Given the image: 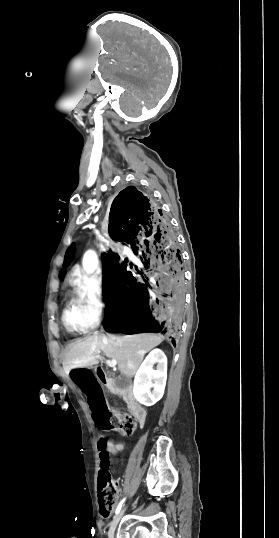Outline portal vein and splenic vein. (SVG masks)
Listing matches in <instances>:
<instances>
[{
    "mask_svg": "<svg viewBox=\"0 0 279 538\" xmlns=\"http://www.w3.org/2000/svg\"><path fill=\"white\" fill-rule=\"evenodd\" d=\"M101 356H102V360L105 361V364L107 366H110V368H115V366L117 364L116 360H110L109 356L104 355V353H101Z\"/></svg>",
    "mask_w": 279,
    "mask_h": 538,
    "instance_id": "18ae733b",
    "label": "portal vein and splenic vein"
}]
</instances>
